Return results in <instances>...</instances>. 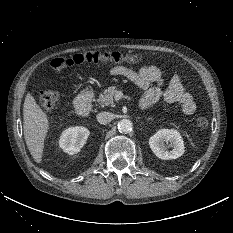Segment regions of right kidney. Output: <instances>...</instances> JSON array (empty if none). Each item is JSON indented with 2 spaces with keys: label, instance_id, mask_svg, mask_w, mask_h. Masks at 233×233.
Returning a JSON list of instances; mask_svg holds the SVG:
<instances>
[{
  "label": "right kidney",
  "instance_id": "ca27d5eb",
  "mask_svg": "<svg viewBox=\"0 0 233 233\" xmlns=\"http://www.w3.org/2000/svg\"><path fill=\"white\" fill-rule=\"evenodd\" d=\"M90 132L85 127H69L65 129L59 139V146L64 152L73 155L80 152L86 143Z\"/></svg>",
  "mask_w": 233,
  "mask_h": 233
}]
</instances>
